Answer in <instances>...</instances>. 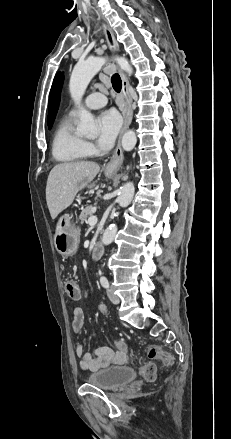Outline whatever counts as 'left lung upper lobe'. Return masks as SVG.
Returning <instances> with one entry per match:
<instances>
[{"instance_id": "left-lung-upper-lobe-1", "label": "left lung upper lobe", "mask_w": 231, "mask_h": 439, "mask_svg": "<svg viewBox=\"0 0 231 439\" xmlns=\"http://www.w3.org/2000/svg\"><path fill=\"white\" fill-rule=\"evenodd\" d=\"M63 80H64L63 74L58 73L53 80V84L50 90L48 121H47L49 128L52 127L53 121L55 119L58 110V106L60 102V91H61Z\"/></svg>"}]
</instances>
